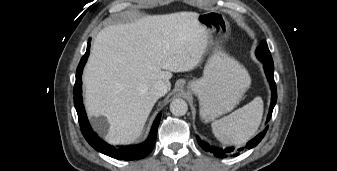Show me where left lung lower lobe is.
Wrapping results in <instances>:
<instances>
[{
  "label": "left lung lower lobe",
  "mask_w": 337,
  "mask_h": 171,
  "mask_svg": "<svg viewBox=\"0 0 337 171\" xmlns=\"http://www.w3.org/2000/svg\"><path fill=\"white\" fill-rule=\"evenodd\" d=\"M262 61V60H260ZM264 63V70L266 73V76L270 82V88L272 91V98H271V104H270V111L269 114L267 116V121L270 120L271 115H272V111L273 108L276 104L277 101V90H276V83L274 81V65H273V61H262ZM268 127H266L264 129V131H262L260 134H258L255 138H253L252 140H250L245 147L239 148L236 151H234V148H226V149H220V148H216V147H210L209 145H207L206 143H204L203 141L200 140L199 137H197L198 143L199 145L206 151V152H213L214 155L218 158H226L227 156H237L239 154L240 151H243L244 149H250L255 147L261 140L262 138L265 136L266 131H267Z\"/></svg>",
  "instance_id": "0a47b994"
}]
</instances>
